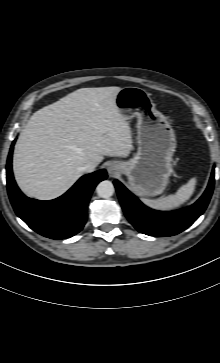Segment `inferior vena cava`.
<instances>
[{
	"mask_svg": "<svg viewBox=\"0 0 220 363\" xmlns=\"http://www.w3.org/2000/svg\"><path fill=\"white\" fill-rule=\"evenodd\" d=\"M96 164L92 161L86 162L82 167L81 170L83 172H92L96 168Z\"/></svg>",
	"mask_w": 220,
	"mask_h": 363,
	"instance_id": "602c4592",
	"label": "inferior vena cava"
}]
</instances>
